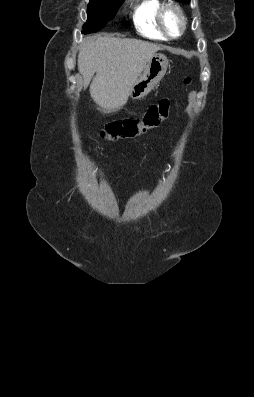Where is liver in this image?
<instances>
[{
	"label": "liver",
	"instance_id": "liver-1",
	"mask_svg": "<svg viewBox=\"0 0 254 397\" xmlns=\"http://www.w3.org/2000/svg\"><path fill=\"white\" fill-rule=\"evenodd\" d=\"M160 49L156 44L138 39L85 38L78 54V70L85 88L96 73L90 94L103 113H115L125 105L131 87Z\"/></svg>",
	"mask_w": 254,
	"mask_h": 397
}]
</instances>
